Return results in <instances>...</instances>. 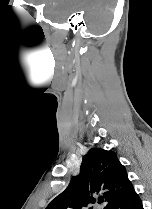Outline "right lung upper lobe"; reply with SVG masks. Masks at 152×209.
Here are the masks:
<instances>
[{
    "instance_id": "right-lung-upper-lobe-1",
    "label": "right lung upper lobe",
    "mask_w": 152,
    "mask_h": 209,
    "mask_svg": "<svg viewBox=\"0 0 152 209\" xmlns=\"http://www.w3.org/2000/svg\"><path fill=\"white\" fill-rule=\"evenodd\" d=\"M132 187L125 167L114 151L92 148L82 160L79 176L54 198L46 209H82L95 203V194L102 192L109 209ZM92 209V208H90Z\"/></svg>"
}]
</instances>
